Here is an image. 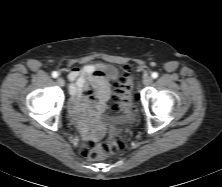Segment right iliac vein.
<instances>
[{
    "label": "right iliac vein",
    "instance_id": "right-iliac-vein-1",
    "mask_svg": "<svg viewBox=\"0 0 222 187\" xmlns=\"http://www.w3.org/2000/svg\"><path fill=\"white\" fill-rule=\"evenodd\" d=\"M57 83H58V85L61 86V87H63V86L65 85V81H64V79L61 78V77H59V78L57 79Z\"/></svg>",
    "mask_w": 222,
    "mask_h": 187
}]
</instances>
